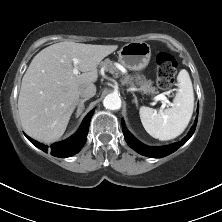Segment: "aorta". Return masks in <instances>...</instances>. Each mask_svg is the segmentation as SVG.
<instances>
[{
  "instance_id": "obj_1",
  "label": "aorta",
  "mask_w": 222,
  "mask_h": 222,
  "mask_svg": "<svg viewBox=\"0 0 222 222\" xmlns=\"http://www.w3.org/2000/svg\"><path fill=\"white\" fill-rule=\"evenodd\" d=\"M103 105L106 109L118 110L121 107V99L118 94L110 93L104 98Z\"/></svg>"
}]
</instances>
